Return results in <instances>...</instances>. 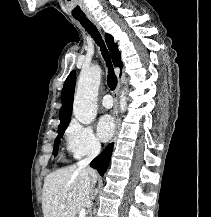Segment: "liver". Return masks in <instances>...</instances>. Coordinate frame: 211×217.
Wrapping results in <instances>:
<instances>
[{
    "instance_id": "obj_1",
    "label": "liver",
    "mask_w": 211,
    "mask_h": 217,
    "mask_svg": "<svg viewBox=\"0 0 211 217\" xmlns=\"http://www.w3.org/2000/svg\"><path fill=\"white\" fill-rule=\"evenodd\" d=\"M96 180L95 170L76 165L48 174L42 190L44 217H76L91 205L90 188Z\"/></svg>"
}]
</instances>
